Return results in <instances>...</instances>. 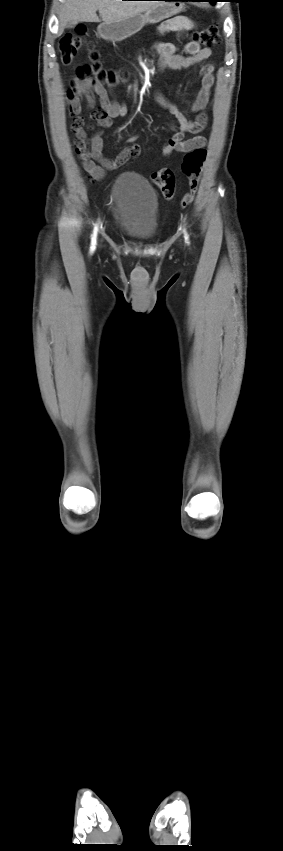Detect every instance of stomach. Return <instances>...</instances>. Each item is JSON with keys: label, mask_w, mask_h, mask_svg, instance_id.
<instances>
[{"label": "stomach", "mask_w": 283, "mask_h": 851, "mask_svg": "<svg viewBox=\"0 0 283 851\" xmlns=\"http://www.w3.org/2000/svg\"><path fill=\"white\" fill-rule=\"evenodd\" d=\"M171 2H160L155 7L140 13L133 17L122 21L106 23L103 22L98 26L99 35L111 41H122L138 31L147 23L155 24L166 18L180 13L184 4L178 0H170Z\"/></svg>", "instance_id": "stomach-1"}]
</instances>
